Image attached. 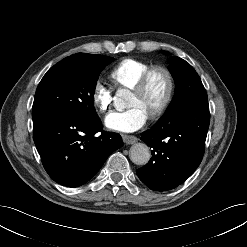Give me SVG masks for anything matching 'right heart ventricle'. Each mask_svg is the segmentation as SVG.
Wrapping results in <instances>:
<instances>
[{"instance_id": "e07e8e85", "label": "right heart ventricle", "mask_w": 247, "mask_h": 247, "mask_svg": "<svg viewBox=\"0 0 247 247\" xmlns=\"http://www.w3.org/2000/svg\"><path fill=\"white\" fill-rule=\"evenodd\" d=\"M150 67L151 64L145 61L126 58L112 69L110 78L117 88L132 89L142 74Z\"/></svg>"}]
</instances>
